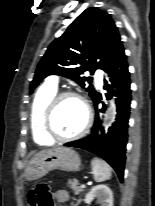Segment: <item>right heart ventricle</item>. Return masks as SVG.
Listing matches in <instances>:
<instances>
[{"label":"right heart ventricle","mask_w":155,"mask_h":206,"mask_svg":"<svg viewBox=\"0 0 155 206\" xmlns=\"http://www.w3.org/2000/svg\"><path fill=\"white\" fill-rule=\"evenodd\" d=\"M57 93V87L44 84L36 93L30 111V125L34 141L38 145H51L53 140L44 132L43 114L52 97Z\"/></svg>","instance_id":"right-heart-ventricle-1"}]
</instances>
